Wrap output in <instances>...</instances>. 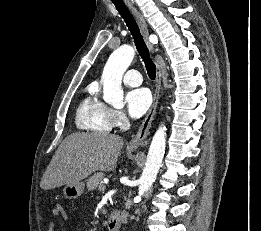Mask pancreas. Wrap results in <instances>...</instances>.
<instances>
[{
  "label": "pancreas",
  "mask_w": 261,
  "mask_h": 231,
  "mask_svg": "<svg viewBox=\"0 0 261 231\" xmlns=\"http://www.w3.org/2000/svg\"><path fill=\"white\" fill-rule=\"evenodd\" d=\"M105 177V174L103 172H97L94 173L89 179L87 180V189L89 191L95 190L97 187H100L103 185L102 181Z\"/></svg>",
  "instance_id": "pancreas-1"
}]
</instances>
